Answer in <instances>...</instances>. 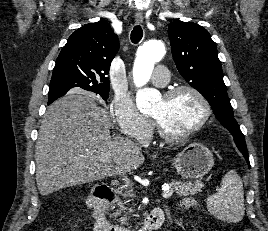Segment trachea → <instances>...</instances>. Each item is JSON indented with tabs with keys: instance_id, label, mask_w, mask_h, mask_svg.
<instances>
[{
	"instance_id": "obj_1",
	"label": "trachea",
	"mask_w": 268,
	"mask_h": 231,
	"mask_svg": "<svg viewBox=\"0 0 268 231\" xmlns=\"http://www.w3.org/2000/svg\"><path fill=\"white\" fill-rule=\"evenodd\" d=\"M143 37V30L140 25H137L133 28L131 32V41L134 44H137Z\"/></svg>"
}]
</instances>
